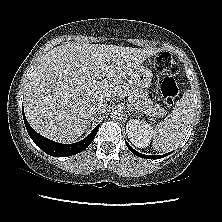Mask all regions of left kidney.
<instances>
[{
    "instance_id": "5707ae66",
    "label": "left kidney",
    "mask_w": 222,
    "mask_h": 222,
    "mask_svg": "<svg viewBox=\"0 0 222 222\" xmlns=\"http://www.w3.org/2000/svg\"><path fill=\"white\" fill-rule=\"evenodd\" d=\"M126 133L133 145L138 148H145L150 143L153 128L142 120L131 119L126 125Z\"/></svg>"
}]
</instances>
